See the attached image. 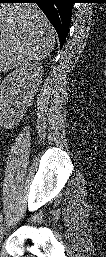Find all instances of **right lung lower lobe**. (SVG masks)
I'll use <instances>...</instances> for the list:
<instances>
[{
	"label": "right lung lower lobe",
	"mask_w": 106,
	"mask_h": 257,
	"mask_svg": "<svg viewBox=\"0 0 106 257\" xmlns=\"http://www.w3.org/2000/svg\"><path fill=\"white\" fill-rule=\"evenodd\" d=\"M1 3H36L57 31L62 48L70 26L75 0H0Z\"/></svg>",
	"instance_id": "obj_1"
}]
</instances>
